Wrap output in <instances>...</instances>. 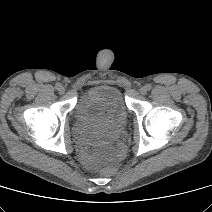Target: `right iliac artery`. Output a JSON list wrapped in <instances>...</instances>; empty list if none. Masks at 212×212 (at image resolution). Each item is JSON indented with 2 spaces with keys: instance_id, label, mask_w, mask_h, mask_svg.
I'll list each match as a JSON object with an SVG mask.
<instances>
[{
  "instance_id": "right-iliac-artery-1",
  "label": "right iliac artery",
  "mask_w": 212,
  "mask_h": 212,
  "mask_svg": "<svg viewBox=\"0 0 212 212\" xmlns=\"http://www.w3.org/2000/svg\"><path fill=\"white\" fill-rule=\"evenodd\" d=\"M60 86H61V84L60 83H57L56 84V89H59Z\"/></svg>"
}]
</instances>
